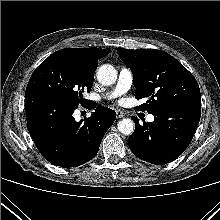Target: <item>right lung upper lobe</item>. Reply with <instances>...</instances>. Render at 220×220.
I'll return each mask as SVG.
<instances>
[{
  "label": "right lung upper lobe",
  "mask_w": 220,
  "mask_h": 220,
  "mask_svg": "<svg viewBox=\"0 0 220 220\" xmlns=\"http://www.w3.org/2000/svg\"><path fill=\"white\" fill-rule=\"evenodd\" d=\"M55 53L76 58L85 66L96 70L98 60L110 53V50L100 48H65Z\"/></svg>",
  "instance_id": "cb5924a9"
}]
</instances>
